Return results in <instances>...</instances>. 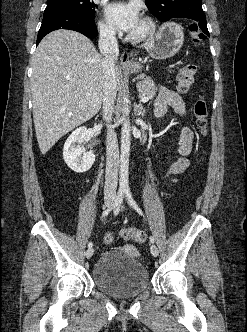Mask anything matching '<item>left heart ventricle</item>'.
I'll list each match as a JSON object with an SVG mask.
<instances>
[{
	"label": "left heart ventricle",
	"mask_w": 247,
	"mask_h": 332,
	"mask_svg": "<svg viewBox=\"0 0 247 332\" xmlns=\"http://www.w3.org/2000/svg\"><path fill=\"white\" fill-rule=\"evenodd\" d=\"M145 25L142 22V20L139 21V23L137 24L136 28L132 31V34H137L140 33L144 30Z\"/></svg>",
	"instance_id": "1"
}]
</instances>
